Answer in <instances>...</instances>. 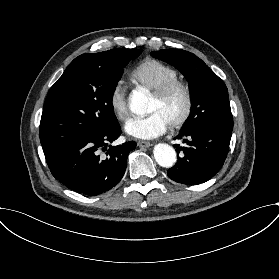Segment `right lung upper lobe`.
<instances>
[{"label": "right lung upper lobe", "instance_id": "1", "mask_svg": "<svg viewBox=\"0 0 279 279\" xmlns=\"http://www.w3.org/2000/svg\"><path fill=\"white\" fill-rule=\"evenodd\" d=\"M114 50H116V49H112V50L101 52V53H96L94 55L97 56L98 58H101V57L106 56L107 54L113 52Z\"/></svg>", "mask_w": 279, "mask_h": 279}]
</instances>
